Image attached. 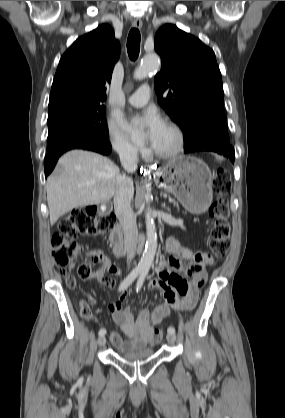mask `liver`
<instances>
[{
    "label": "liver",
    "instance_id": "liver-1",
    "mask_svg": "<svg viewBox=\"0 0 285 418\" xmlns=\"http://www.w3.org/2000/svg\"><path fill=\"white\" fill-rule=\"evenodd\" d=\"M57 168L59 173L46 183L51 225L76 207L103 204L115 195L120 170L107 157L71 150L60 157Z\"/></svg>",
    "mask_w": 285,
    "mask_h": 418
}]
</instances>
